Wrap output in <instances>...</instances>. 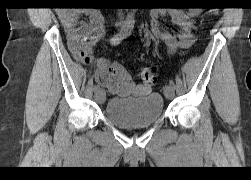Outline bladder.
Returning a JSON list of instances; mask_svg holds the SVG:
<instances>
[{
	"instance_id": "obj_1",
	"label": "bladder",
	"mask_w": 251,
	"mask_h": 180,
	"mask_svg": "<svg viewBox=\"0 0 251 180\" xmlns=\"http://www.w3.org/2000/svg\"><path fill=\"white\" fill-rule=\"evenodd\" d=\"M164 100L158 93L141 98H110L105 107V116L121 128L148 127L163 115Z\"/></svg>"
}]
</instances>
